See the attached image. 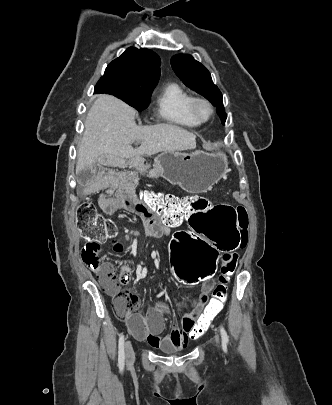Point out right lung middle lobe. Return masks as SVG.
<instances>
[{
    "mask_svg": "<svg viewBox=\"0 0 332 405\" xmlns=\"http://www.w3.org/2000/svg\"><path fill=\"white\" fill-rule=\"evenodd\" d=\"M156 83H137L124 76L103 75L95 86L94 93L111 94L123 100L138 111L146 109Z\"/></svg>",
    "mask_w": 332,
    "mask_h": 405,
    "instance_id": "obj_1",
    "label": "right lung middle lobe"
}]
</instances>
